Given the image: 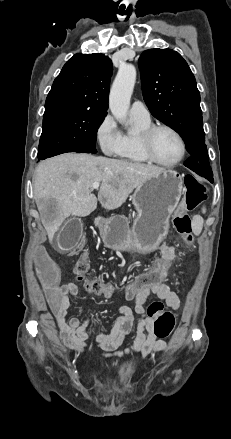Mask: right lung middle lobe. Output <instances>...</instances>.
<instances>
[{
    "label": "right lung middle lobe",
    "instance_id": "1",
    "mask_svg": "<svg viewBox=\"0 0 231 439\" xmlns=\"http://www.w3.org/2000/svg\"><path fill=\"white\" fill-rule=\"evenodd\" d=\"M106 115L66 112L46 116L39 143L38 159L66 152L97 153V130Z\"/></svg>",
    "mask_w": 231,
    "mask_h": 439
}]
</instances>
